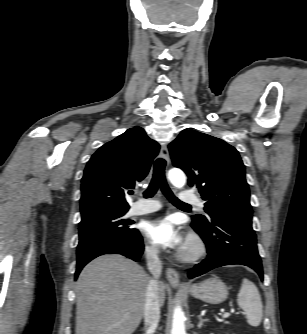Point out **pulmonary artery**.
<instances>
[{
    "label": "pulmonary artery",
    "mask_w": 307,
    "mask_h": 334,
    "mask_svg": "<svg viewBox=\"0 0 307 334\" xmlns=\"http://www.w3.org/2000/svg\"><path fill=\"white\" fill-rule=\"evenodd\" d=\"M180 199L195 204L200 208H203V202L197 197H189L184 194H180ZM161 203L156 200H146L139 198L131 207L130 214L132 215H143L155 212L161 208Z\"/></svg>",
    "instance_id": "1"
}]
</instances>
